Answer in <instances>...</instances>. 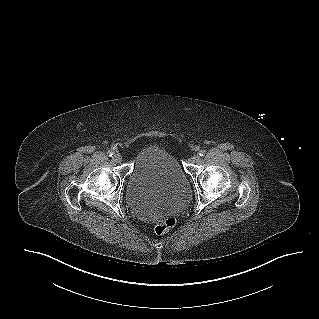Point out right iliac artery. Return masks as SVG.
I'll return each instance as SVG.
<instances>
[{
    "mask_svg": "<svg viewBox=\"0 0 319 319\" xmlns=\"http://www.w3.org/2000/svg\"><path fill=\"white\" fill-rule=\"evenodd\" d=\"M107 155H108L109 157H112L113 152L109 150V151L107 152Z\"/></svg>",
    "mask_w": 319,
    "mask_h": 319,
    "instance_id": "82829eb1",
    "label": "right iliac artery"
}]
</instances>
